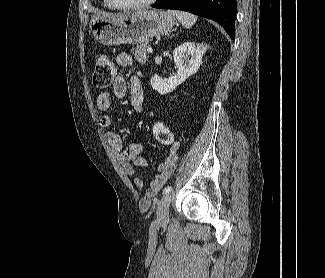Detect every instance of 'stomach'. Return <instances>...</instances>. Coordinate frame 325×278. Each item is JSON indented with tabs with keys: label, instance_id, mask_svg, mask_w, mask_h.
I'll return each instance as SVG.
<instances>
[{
	"label": "stomach",
	"instance_id": "1",
	"mask_svg": "<svg viewBox=\"0 0 325 278\" xmlns=\"http://www.w3.org/2000/svg\"><path fill=\"white\" fill-rule=\"evenodd\" d=\"M174 16L162 10H140L128 15H92L90 30L94 38L106 46L142 44L152 37L171 31Z\"/></svg>",
	"mask_w": 325,
	"mask_h": 278
}]
</instances>
